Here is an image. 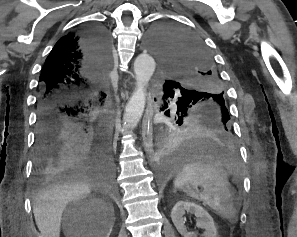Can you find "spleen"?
I'll return each instance as SVG.
<instances>
[{"instance_id": "3e777b00", "label": "spleen", "mask_w": 297, "mask_h": 237, "mask_svg": "<svg viewBox=\"0 0 297 237\" xmlns=\"http://www.w3.org/2000/svg\"><path fill=\"white\" fill-rule=\"evenodd\" d=\"M202 186L203 192L195 193L192 188ZM174 187L188 196L202 201L222 218L233 222L236 211L227 177L219 162L194 160L186 164L174 180Z\"/></svg>"}]
</instances>
